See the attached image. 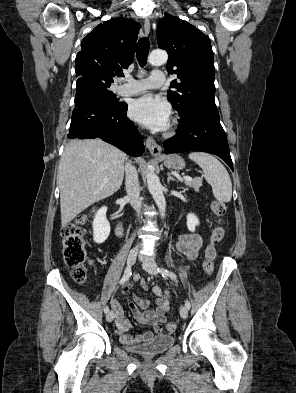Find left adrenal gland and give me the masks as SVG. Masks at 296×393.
Listing matches in <instances>:
<instances>
[{
	"instance_id": "a2214340",
	"label": "left adrenal gland",
	"mask_w": 296,
	"mask_h": 393,
	"mask_svg": "<svg viewBox=\"0 0 296 393\" xmlns=\"http://www.w3.org/2000/svg\"><path fill=\"white\" fill-rule=\"evenodd\" d=\"M167 176H168V178H167V182H168V183H169L170 181H176V182H177V180L171 176V173H167Z\"/></svg>"
}]
</instances>
